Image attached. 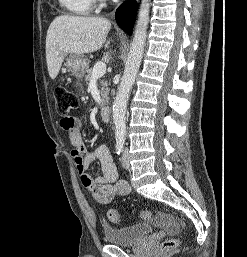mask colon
<instances>
[{
	"label": "colon",
	"mask_w": 247,
	"mask_h": 257,
	"mask_svg": "<svg viewBox=\"0 0 247 257\" xmlns=\"http://www.w3.org/2000/svg\"><path fill=\"white\" fill-rule=\"evenodd\" d=\"M55 100H56V110L59 116L61 117V122L64 125L71 124V112L76 110L79 106V100L75 93L70 91L65 87H56L55 91ZM141 217L144 220L150 221L153 219L152 213L150 211H145L141 213ZM108 218L111 222L118 223L122 220V216L117 210H110L108 212ZM179 244L178 239L170 238L165 240L161 244L162 252H170L174 250Z\"/></svg>",
	"instance_id": "colon-1"
}]
</instances>
